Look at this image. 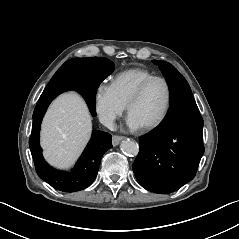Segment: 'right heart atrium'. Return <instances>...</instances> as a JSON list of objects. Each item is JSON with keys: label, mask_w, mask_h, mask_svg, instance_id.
<instances>
[{"label": "right heart atrium", "mask_w": 239, "mask_h": 239, "mask_svg": "<svg viewBox=\"0 0 239 239\" xmlns=\"http://www.w3.org/2000/svg\"><path fill=\"white\" fill-rule=\"evenodd\" d=\"M94 107L99 119L107 126H113L126 109L110 84L97 85L94 92Z\"/></svg>", "instance_id": "obj_1"}]
</instances>
